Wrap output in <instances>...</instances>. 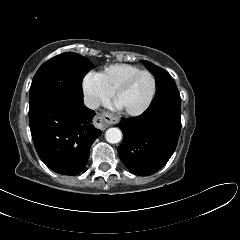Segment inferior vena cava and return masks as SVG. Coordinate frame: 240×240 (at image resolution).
I'll return each mask as SVG.
<instances>
[{
	"label": "inferior vena cava",
	"instance_id": "602c4592",
	"mask_svg": "<svg viewBox=\"0 0 240 240\" xmlns=\"http://www.w3.org/2000/svg\"><path fill=\"white\" fill-rule=\"evenodd\" d=\"M84 104L89 109H97L100 106V100L93 96H85L84 97Z\"/></svg>",
	"mask_w": 240,
	"mask_h": 240
}]
</instances>
